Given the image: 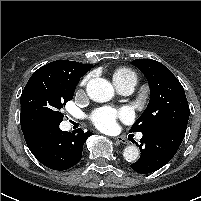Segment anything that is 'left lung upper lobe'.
Here are the masks:
<instances>
[{"mask_svg": "<svg viewBox=\"0 0 201 201\" xmlns=\"http://www.w3.org/2000/svg\"><path fill=\"white\" fill-rule=\"evenodd\" d=\"M132 64L148 80L150 101L130 131L143 133L151 127L169 122L187 124L190 112L184 88L169 69L152 59H136Z\"/></svg>", "mask_w": 201, "mask_h": 201, "instance_id": "1", "label": "left lung upper lobe"}]
</instances>
